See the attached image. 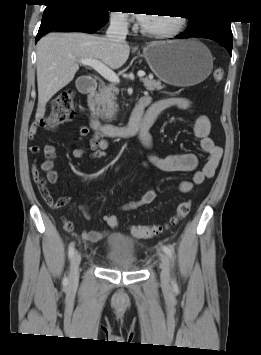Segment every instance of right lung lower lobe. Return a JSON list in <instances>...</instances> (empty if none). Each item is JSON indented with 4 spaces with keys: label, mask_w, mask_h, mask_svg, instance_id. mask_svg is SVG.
Returning a JSON list of instances; mask_svg holds the SVG:
<instances>
[{
    "label": "right lung lower lobe",
    "mask_w": 261,
    "mask_h": 355,
    "mask_svg": "<svg viewBox=\"0 0 261 355\" xmlns=\"http://www.w3.org/2000/svg\"><path fill=\"white\" fill-rule=\"evenodd\" d=\"M108 18V15L95 14L86 6L75 2L47 4L36 42L52 31L93 33L104 26Z\"/></svg>",
    "instance_id": "right-lung-lower-lobe-1"
}]
</instances>
